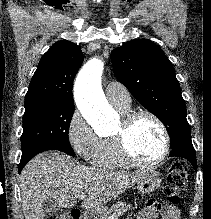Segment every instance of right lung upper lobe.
<instances>
[{
  "label": "right lung upper lobe",
  "mask_w": 211,
  "mask_h": 219,
  "mask_svg": "<svg viewBox=\"0 0 211 219\" xmlns=\"http://www.w3.org/2000/svg\"><path fill=\"white\" fill-rule=\"evenodd\" d=\"M82 62V51L75 43L62 40L53 44L32 77L25 103L45 100L74 106L72 86Z\"/></svg>",
  "instance_id": "right-lung-upper-lobe-1"
}]
</instances>
